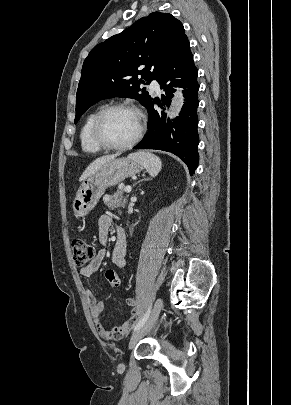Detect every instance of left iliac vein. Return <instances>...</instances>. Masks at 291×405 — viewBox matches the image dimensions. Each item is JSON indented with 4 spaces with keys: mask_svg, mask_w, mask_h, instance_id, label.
I'll return each instance as SVG.
<instances>
[{
    "mask_svg": "<svg viewBox=\"0 0 291 405\" xmlns=\"http://www.w3.org/2000/svg\"><path fill=\"white\" fill-rule=\"evenodd\" d=\"M162 309V299L158 298L154 304L153 310L151 312V315L148 317L147 321L145 324L138 330H136L133 335L131 336L130 342H129V348H133L136 343L144 337L148 332L151 331V329L155 326L156 321L159 317V314Z\"/></svg>",
    "mask_w": 291,
    "mask_h": 405,
    "instance_id": "obj_1",
    "label": "left iliac vein"
}]
</instances>
